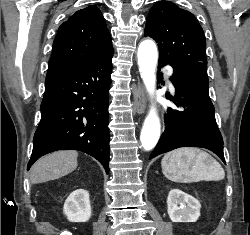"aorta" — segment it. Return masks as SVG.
Returning a JSON list of instances; mask_svg holds the SVG:
<instances>
[{
  "mask_svg": "<svg viewBox=\"0 0 250 235\" xmlns=\"http://www.w3.org/2000/svg\"><path fill=\"white\" fill-rule=\"evenodd\" d=\"M158 52L152 40H144L138 48V65L141 78L149 93H153L156 84V64ZM160 137V120L156 110L152 108L144 121L140 135L142 147L149 151L155 147Z\"/></svg>",
  "mask_w": 250,
  "mask_h": 235,
  "instance_id": "obj_1",
  "label": "aorta"
}]
</instances>
